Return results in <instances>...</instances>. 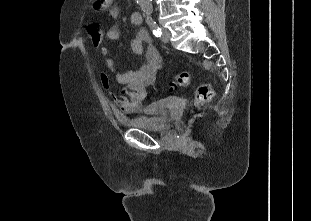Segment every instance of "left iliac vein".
<instances>
[{"label": "left iliac vein", "mask_w": 311, "mask_h": 221, "mask_svg": "<svg viewBox=\"0 0 311 221\" xmlns=\"http://www.w3.org/2000/svg\"><path fill=\"white\" fill-rule=\"evenodd\" d=\"M170 37H171L170 32L167 29L163 28L161 40L164 43H168L170 41Z\"/></svg>", "instance_id": "4c4485c4"}]
</instances>
